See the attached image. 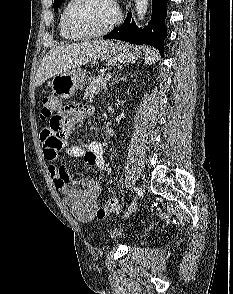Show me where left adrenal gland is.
I'll return each instance as SVG.
<instances>
[{
	"label": "left adrenal gland",
	"instance_id": "a2214340",
	"mask_svg": "<svg viewBox=\"0 0 233 294\" xmlns=\"http://www.w3.org/2000/svg\"><path fill=\"white\" fill-rule=\"evenodd\" d=\"M122 79H126V77L123 76V77L120 78V80H122ZM117 81H118V79L115 78V82L114 83H116Z\"/></svg>",
	"mask_w": 233,
	"mask_h": 294
}]
</instances>
